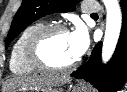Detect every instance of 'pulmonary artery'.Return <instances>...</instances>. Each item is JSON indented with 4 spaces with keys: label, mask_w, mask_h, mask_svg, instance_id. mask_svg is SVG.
<instances>
[{
    "label": "pulmonary artery",
    "mask_w": 127,
    "mask_h": 92,
    "mask_svg": "<svg viewBox=\"0 0 127 92\" xmlns=\"http://www.w3.org/2000/svg\"><path fill=\"white\" fill-rule=\"evenodd\" d=\"M99 10H100V6L98 4H95V3L85 4L82 7V11L84 13H92V12H97Z\"/></svg>",
    "instance_id": "pulmonary-artery-1"
}]
</instances>
